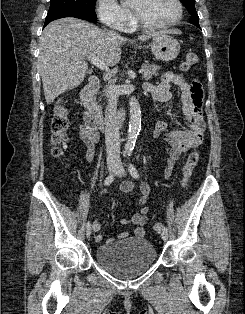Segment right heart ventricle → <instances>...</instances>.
<instances>
[{
    "instance_id": "obj_1",
    "label": "right heart ventricle",
    "mask_w": 245,
    "mask_h": 314,
    "mask_svg": "<svg viewBox=\"0 0 245 314\" xmlns=\"http://www.w3.org/2000/svg\"><path fill=\"white\" fill-rule=\"evenodd\" d=\"M131 28H133V25H131L128 29L130 30Z\"/></svg>"
}]
</instances>
